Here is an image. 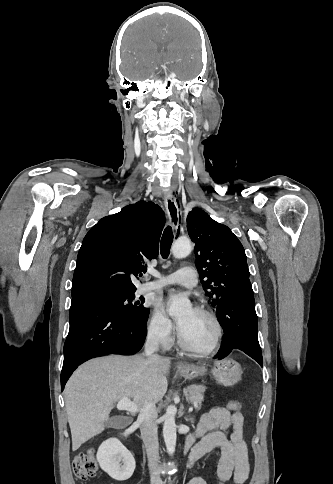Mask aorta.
I'll return each mask as SVG.
<instances>
[{"instance_id": "762f6f07", "label": "aorta", "mask_w": 333, "mask_h": 484, "mask_svg": "<svg viewBox=\"0 0 333 484\" xmlns=\"http://www.w3.org/2000/svg\"><path fill=\"white\" fill-rule=\"evenodd\" d=\"M172 254L175 258L181 259L188 256L192 251V245L188 239H177L171 247ZM190 301L185 296L173 294L170 297V306L168 313L170 316H179L190 307ZM176 407L169 406L164 415L163 437L166 449L169 455L175 452L176 448V424H175Z\"/></svg>"}]
</instances>
